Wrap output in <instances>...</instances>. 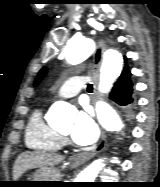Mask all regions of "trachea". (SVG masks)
I'll use <instances>...</instances> for the list:
<instances>
[{
	"instance_id": "1",
	"label": "trachea",
	"mask_w": 160,
	"mask_h": 187,
	"mask_svg": "<svg viewBox=\"0 0 160 187\" xmlns=\"http://www.w3.org/2000/svg\"><path fill=\"white\" fill-rule=\"evenodd\" d=\"M87 90H88L89 92H92V90H93L92 84H88V85H87Z\"/></svg>"
}]
</instances>
